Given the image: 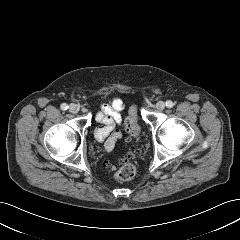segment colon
<instances>
[{
	"instance_id": "colon-1",
	"label": "colon",
	"mask_w": 240,
	"mask_h": 240,
	"mask_svg": "<svg viewBox=\"0 0 240 240\" xmlns=\"http://www.w3.org/2000/svg\"><path fill=\"white\" fill-rule=\"evenodd\" d=\"M127 132L131 136H136L139 132V126L137 124L136 109L132 107L125 122ZM134 154V150H130V155ZM136 167L129 161V159H123L121 166L116 173V179L120 181L131 180L136 175Z\"/></svg>"
}]
</instances>
